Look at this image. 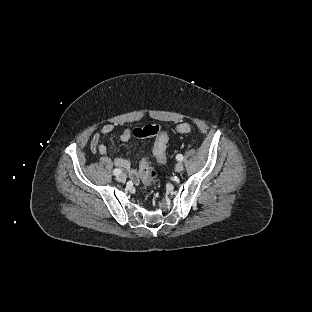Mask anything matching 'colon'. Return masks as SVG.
<instances>
[{"mask_svg": "<svg viewBox=\"0 0 312 312\" xmlns=\"http://www.w3.org/2000/svg\"><path fill=\"white\" fill-rule=\"evenodd\" d=\"M160 127L157 124H150L145 126L140 132L139 135L145 136V135H155L159 132ZM190 130V127L188 124L183 123L180 125L178 131L186 134ZM171 134L169 131L164 130L162 131L154 140L153 144V150L155 154V158L157 161L162 162L165 160L166 155L164 151V144L170 139ZM139 179L141 181V184L145 187H153L155 183L159 179V172L151 168L147 162L146 159H143V161L139 165Z\"/></svg>", "mask_w": 312, "mask_h": 312, "instance_id": "1", "label": "colon"}]
</instances>
